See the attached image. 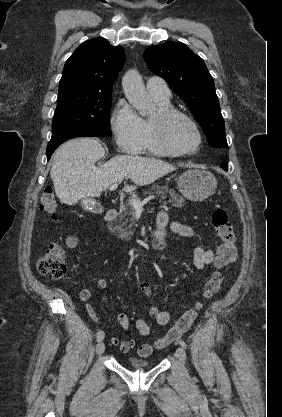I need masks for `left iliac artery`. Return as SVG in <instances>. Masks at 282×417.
I'll return each mask as SVG.
<instances>
[{"label":"left iliac artery","instance_id":"44dca946","mask_svg":"<svg viewBox=\"0 0 282 417\" xmlns=\"http://www.w3.org/2000/svg\"><path fill=\"white\" fill-rule=\"evenodd\" d=\"M179 344H180L182 347L187 348V345H186V343H185L183 340H180V341H179Z\"/></svg>","mask_w":282,"mask_h":417}]
</instances>
